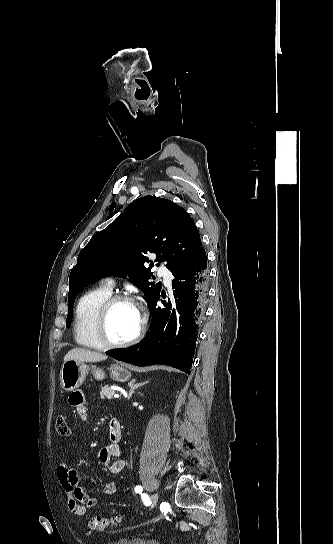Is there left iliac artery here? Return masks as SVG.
<instances>
[{
	"label": "left iliac artery",
	"instance_id": "1",
	"mask_svg": "<svg viewBox=\"0 0 333 544\" xmlns=\"http://www.w3.org/2000/svg\"><path fill=\"white\" fill-rule=\"evenodd\" d=\"M142 490H143V488L141 486H136L135 487V492L136 493H142Z\"/></svg>",
	"mask_w": 333,
	"mask_h": 544
}]
</instances>
